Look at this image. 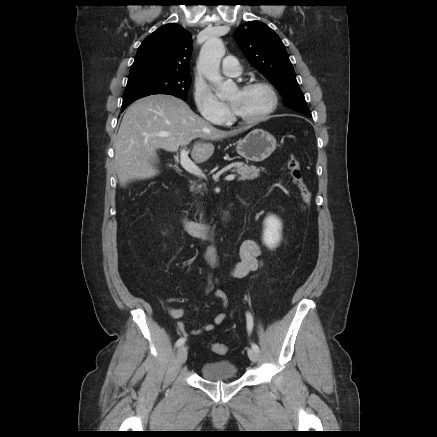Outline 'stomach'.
I'll return each mask as SVG.
<instances>
[{"mask_svg": "<svg viewBox=\"0 0 437 437\" xmlns=\"http://www.w3.org/2000/svg\"><path fill=\"white\" fill-rule=\"evenodd\" d=\"M276 139L269 132L255 129L236 144L237 153L247 161L261 162L276 149Z\"/></svg>", "mask_w": 437, "mask_h": 437, "instance_id": "0dacf381", "label": "stomach"}]
</instances>
